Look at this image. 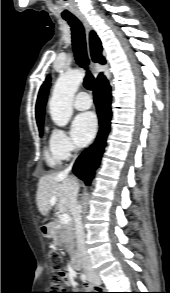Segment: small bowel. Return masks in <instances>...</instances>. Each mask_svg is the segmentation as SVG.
<instances>
[{"label":"small bowel","mask_w":170,"mask_h":293,"mask_svg":"<svg viewBox=\"0 0 170 293\" xmlns=\"http://www.w3.org/2000/svg\"><path fill=\"white\" fill-rule=\"evenodd\" d=\"M67 283L71 287H76L77 286V283H76V281H75V279L73 277H69L68 280H67ZM90 293H99V292L97 290L93 289L92 292H90Z\"/></svg>","instance_id":"1"}]
</instances>
